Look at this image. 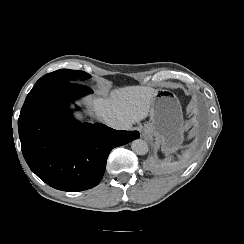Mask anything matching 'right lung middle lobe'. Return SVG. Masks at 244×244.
Segmentation results:
<instances>
[{"instance_id":"right-lung-middle-lobe-1","label":"right lung middle lobe","mask_w":244,"mask_h":244,"mask_svg":"<svg viewBox=\"0 0 244 244\" xmlns=\"http://www.w3.org/2000/svg\"><path fill=\"white\" fill-rule=\"evenodd\" d=\"M90 75L83 71L61 69L55 72L49 73L41 77L36 84H40L47 81H71L76 82L78 80H86Z\"/></svg>"}]
</instances>
